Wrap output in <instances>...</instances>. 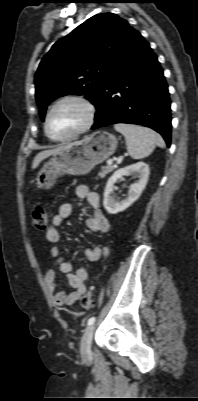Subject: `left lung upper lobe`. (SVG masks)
Here are the masks:
<instances>
[{
    "label": "left lung upper lobe",
    "instance_id": "1",
    "mask_svg": "<svg viewBox=\"0 0 198 401\" xmlns=\"http://www.w3.org/2000/svg\"><path fill=\"white\" fill-rule=\"evenodd\" d=\"M137 31L113 13L95 15L58 40L35 74L36 101L44 120L49 103L84 94L96 105L103 85Z\"/></svg>",
    "mask_w": 198,
    "mask_h": 401
}]
</instances>
